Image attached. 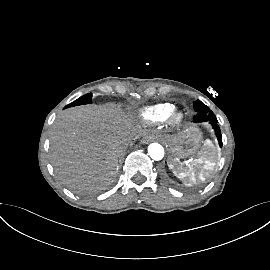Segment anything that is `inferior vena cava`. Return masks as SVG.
<instances>
[{"label": "inferior vena cava", "instance_id": "1", "mask_svg": "<svg viewBox=\"0 0 270 270\" xmlns=\"http://www.w3.org/2000/svg\"><path fill=\"white\" fill-rule=\"evenodd\" d=\"M125 149H126V144L120 146L118 149V154H121L123 151H125Z\"/></svg>", "mask_w": 270, "mask_h": 270}]
</instances>
